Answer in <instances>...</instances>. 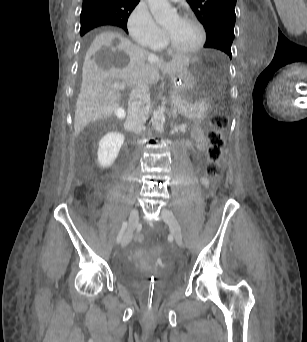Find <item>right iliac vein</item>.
<instances>
[{"label":"right iliac vein","instance_id":"obj_1","mask_svg":"<svg viewBox=\"0 0 307 342\" xmlns=\"http://www.w3.org/2000/svg\"><path fill=\"white\" fill-rule=\"evenodd\" d=\"M138 221H139V212H138V209L135 207L131 210L129 214L128 228L122 239V242H121L122 246L128 244V242L131 240L133 233L135 229L137 228Z\"/></svg>","mask_w":307,"mask_h":342}]
</instances>
